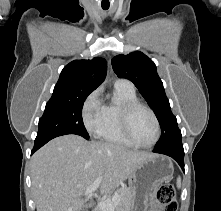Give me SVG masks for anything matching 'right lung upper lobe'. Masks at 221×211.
Here are the masks:
<instances>
[{"label":"right lung upper lobe","instance_id":"cb5924a9","mask_svg":"<svg viewBox=\"0 0 221 211\" xmlns=\"http://www.w3.org/2000/svg\"><path fill=\"white\" fill-rule=\"evenodd\" d=\"M106 72L107 62L103 58L74 60L63 68L52 96L72 97L90 94L104 81Z\"/></svg>","mask_w":221,"mask_h":211}]
</instances>
